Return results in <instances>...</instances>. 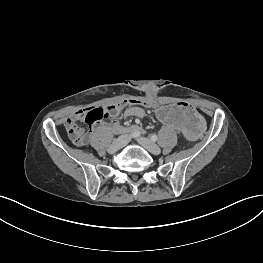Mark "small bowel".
Listing matches in <instances>:
<instances>
[{
    "label": "small bowel",
    "mask_w": 263,
    "mask_h": 263,
    "mask_svg": "<svg viewBox=\"0 0 263 263\" xmlns=\"http://www.w3.org/2000/svg\"><path fill=\"white\" fill-rule=\"evenodd\" d=\"M123 106L118 108L116 110V112L112 115V117L117 116L121 110H122ZM85 111H78L74 114V118L75 119H81L84 115ZM124 116L130 117V116H135V117H143L145 115V111L143 108H141L140 106H137L135 104H129L128 107H126L123 111Z\"/></svg>",
    "instance_id": "obj_1"
}]
</instances>
